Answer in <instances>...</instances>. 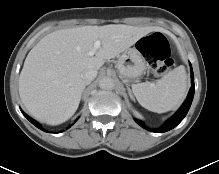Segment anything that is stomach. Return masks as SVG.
Segmentation results:
<instances>
[{
	"label": "stomach",
	"mask_w": 219,
	"mask_h": 174,
	"mask_svg": "<svg viewBox=\"0 0 219 174\" xmlns=\"http://www.w3.org/2000/svg\"><path fill=\"white\" fill-rule=\"evenodd\" d=\"M116 67L119 71L120 78L125 82H129L144 73L146 62L140 51L136 47H133L126 49L119 56Z\"/></svg>",
	"instance_id": "0dacf381"
}]
</instances>
